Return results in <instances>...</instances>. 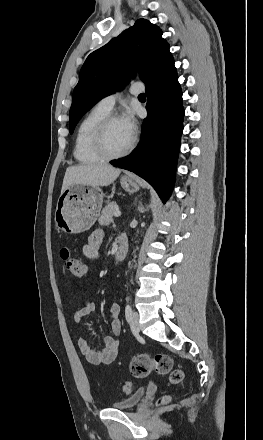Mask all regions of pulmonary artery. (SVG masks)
Listing matches in <instances>:
<instances>
[{"instance_id": "pulmonary-artery-1", "label": "pulmonary artery", "mask_w": 263, "mask_h": 440, "mask_svg": "<svg viewBox=\"0 0 263 440\" xmlns=\"http://www.w3.org/2000/svg\"><path fill=\"white\" fill-rule=\"evenodd\" d=\"M130 91L132 94L137 95L142 93L143 88L140 87L137 83H133L131 85ZM117 98H118L117 94L106 96L102 98L97 105L110 112L113 109Z\"/></svg>"}]
</instances>
